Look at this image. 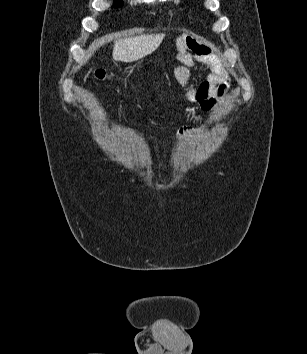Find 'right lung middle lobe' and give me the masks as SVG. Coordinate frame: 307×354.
<instances>
[{
  "label": "right lung middle lobe",
  "instance_id": "obj_1",
  "mask_svg": "<svg viewBox=\"0 0 307 354\" xmlns=\"http://www.w3.org/2000/svg\"><path fill=\"white\" fill-rule=\"evenodd\" d=\"M120 6H122V1H121V0H115V4H114L113 7L118 8V7H120Z\"/></svg>",
  "mask_w": 307,
  "mask_h": 354
}]
</instances>
